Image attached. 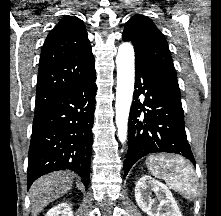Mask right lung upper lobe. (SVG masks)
Masks as SVG:
<instances>
[{
    "label": "right lung upper lobe",
    "instance_id": "1",
    "mask_svg": "<svg viewBox=\"0 0 221 216\" xmlns=\"http://www.w3.org/2000/svg\"><path fill=\"white\" fill-rule=\"evenodd\" d=\"M95 74L94 57L84 23L64 17L42 47L35 110Z\"/></svg>",
    "mask_w": 221,
    "mask_h": 216
}]
</instances>
